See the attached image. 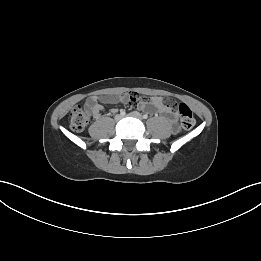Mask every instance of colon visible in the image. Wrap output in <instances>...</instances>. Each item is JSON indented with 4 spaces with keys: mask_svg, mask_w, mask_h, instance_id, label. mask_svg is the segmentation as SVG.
<instances>
[{
    "mask_svg": "<svg viewBox=\"0 0 261 261\" xmlns=\"http://www.w3.org/2000/svg\"><path fill=\"white\" fill-rule=\"evenodd\" d=\"M141 95V94H140ZM167 106L173 107V102L169 98H164ZM181 126L185 130H190L194 127L196 120L190 107L184 103L177 106ZM70 127L74 131H82L91 120V112L82 108L81 106L74 107L70 112Z\"/></svg>",
    "mask_w": 261,
    "mask_h": 261,
    "instance_id": "colon-1",
    "label": "colon"
}]
</instances>
